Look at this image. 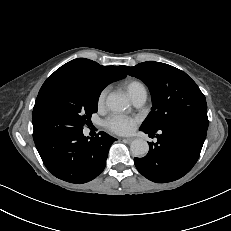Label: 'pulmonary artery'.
Segmentation results:
<instances>
[{"label": "pulmonary artery", "instance_id": "pulmonary-artery-1", "mask_svg": "<svg viewBox=\"0 0 231 231\" xmlns=\"http://www.w3.org/2000/svg\"><path fill=\"white\" fill-rule=\"evenodd\" d=\"M135 106L140 107L146 101V94H141L132 99Z\"/></svg>", "mask_w": 231, "mask_h": 231}]
</instances>
